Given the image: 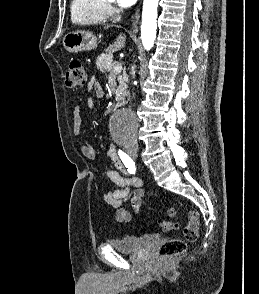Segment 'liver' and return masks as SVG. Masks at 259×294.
I'll return each instance as SVG.
<instances>
[{
  "mask_svg": "<svg viewBox=\"0 0 259 294\" xmlns=\"http://www.w3.org/2000/svg\"><path fill=\"white\" fill-rule=\"evenodd\" d=\"M126 36L125 34H120L116 40L109 45V47L106 49L109 53L116 52L118 50H121L125 46Z\"/></svg>",
  "mask_w": 259,
  "mask_h": 294,
  "instance_id": "1",
  "label": "liver"
}]
</instances>
